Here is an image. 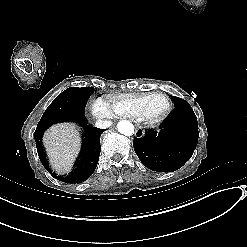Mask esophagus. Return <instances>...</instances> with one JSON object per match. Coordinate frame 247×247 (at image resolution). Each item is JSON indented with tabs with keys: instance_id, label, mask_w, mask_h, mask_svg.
<instances>
[{
	"instance_id": "esophagus-1",
	"label": "esophagus",
	"mask_w": 247,
	"mask_h": 247,
	"mask_svg": "<svg viewBox=\"0 0 247 247\" xmlns=\"http://www.w3.org/2000/svg\"><path fill=\"white\" fill-rule=\"evenodd\" d=\"M135 135H136V137L141 138V137H143L144 132L142 130H136Z\"/></svg>"
}]
</instances>
